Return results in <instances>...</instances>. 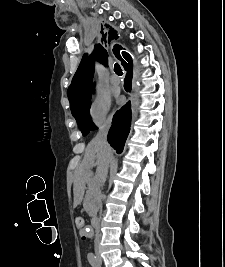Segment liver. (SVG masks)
<instances>
[{"mask_svg": "<svg viewBox=\"0 0 225 267\" xmlns=\"http://www.w3.org/2000/svg\"><path fill=\"white\" fill-rule=\"evenodd\" d=\"M96 160L97 174L107 164L108 158L101 146L92 140L86 147L82 162L78 165L74 180V206L82 202L85 184L91 177L90 169L94 166ZM97 176V175H96ZM96 178V177H95Z\"/></svg>", "mask_w": 225, "mask_h": 267, "instance_id": "obj_1", "label": "liver"}]
</instances>
